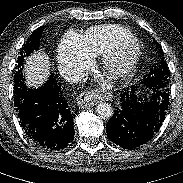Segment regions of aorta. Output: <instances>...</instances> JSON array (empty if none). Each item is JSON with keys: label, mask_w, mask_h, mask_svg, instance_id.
<instances>
[{"label": "aorta", "mask_w": 183, "mask_h": 183, "mask_svg": "<svg viewBox=\"0 0 183 183\" xmlns=\"http://www.w3.org/2000/svg\"><path fill=\"white\" fill-rule=\"evenodd\" d=\"M97 114L102 119H109L113 115V109L108 103H100L96 108Z\"/></svg>", "instance_id": "762f6f07"}]
</instances>
